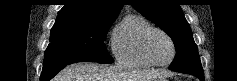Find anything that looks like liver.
I'll return each instance as SVG.
<instances>
[{
	"instance_id": "obj_1",
	"label": "liver",
	"mask_w": 237,
	"mask_h": 81,
	"mask_svg": "<svg viewBox=\"0 0 237 81\" xmlns=\"http://www.w3.org/2000/svg\"><path fill=\"white\" fill-rule=\"evenodd\" d=\"M165 76L164 71H122L97 63H74L63 69L55 81H152Z\"/></svg>"
}]
</instances>
